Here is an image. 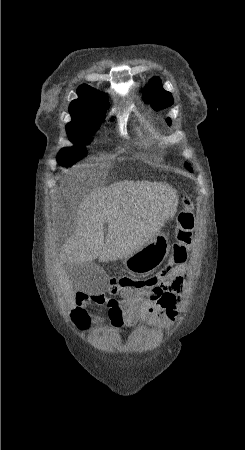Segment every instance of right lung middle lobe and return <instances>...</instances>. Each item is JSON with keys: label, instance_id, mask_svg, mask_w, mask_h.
Here are the masks:
<instances>
[{"label": "right lung middle lobe", "instance_id": "obj_1", "mask_svg": "<svg viewBox=\"0 0 245 450\" xmlns=\"http://www.w3.org/2000/svg\"><path fill=\"white\" fill-rule=\"evenodd\" d=\"M107 106L100 105L80 111L72 116V121L66 125L69 140L76 145L70 150L58 153L59 165L69 167L87 155L85 145L100 126Z\"/></svg>", "mask_w": 245, "mask_h": 450}]
</instances>
